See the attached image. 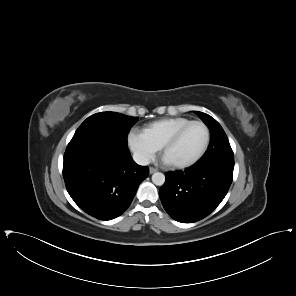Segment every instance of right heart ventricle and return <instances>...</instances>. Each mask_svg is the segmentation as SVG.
Wrapping results in <instances>:
<instances>
[{
	"label": "right heart ventricle",
	"mask_w": 296,
	"mask_h": 296,
	"mask_svg": "<svg viewBox=\"0 0 296 296\" xmlns=\"http://www.w3.org/2000/svg\"><path fill=\"white\" fill-rule=\"evenodd\" d=\"M187 118H166L155 121L144 129V134L158 148L179 128L190 122Z\"/></svg>",
	"instance_id": "1"
}]
</instances>
